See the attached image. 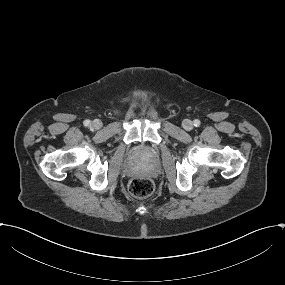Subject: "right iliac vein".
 Returning a JSON list of instances; mask_svg holds the SVG:
<instances>
[{
  "label": "right iliac vein",
  "instance_id": "obj_1",
  "mask_svg": "<svg viewBox=\"0 0 285 285\" xmlns=\"http://www.w3.org/2000/svg\"><path fill=\"white\" fill-rule=\"evenodd\" d=\"M92 127L94 129H100L102 127V122L100 120H94L92 122Z\"/></svg>",
  "mask_w": 285,
  "mask_h": 285
}]
</instances>
